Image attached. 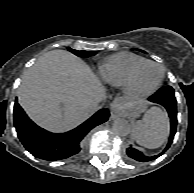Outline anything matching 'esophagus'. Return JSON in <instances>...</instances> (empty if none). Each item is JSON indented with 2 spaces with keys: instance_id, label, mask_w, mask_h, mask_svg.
<instances>
[{
  "instance_id": "esophagus-1",
  "label": "esophagus",
  "mask_w": 194,
  "mask_h": 193,
  "mask_svg": "<svg viewBox=\"0 0 194 193\" xmlns=\"http://www.w3.org/2000/svg\"><path fill=\"white\" fill-rule=\"evenodd\" d=\"M121 106H122V101L118 98L114 99L110 103V109H111L112 113L117 112L118 108H120Z\"/></svg>"
}]
</instances>
